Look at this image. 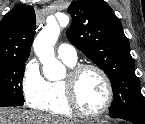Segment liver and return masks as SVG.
Wrapping results in <instances>:
<instances>
[{
	"label": "liver",
	"mask_w": 145,
	"mask_h": 124,
	"mask_svg": "<svg viewBox=\"0 0 145 124\" xmlns=\"http://www.w3.org/2000/svg\"><path fill=\"white\" fill-rule=\"evenodd\" d=\"M79 120L51 117L21 109H0V124H80Z\"/></svg>",
	"instance_id": "1"
}]
</instances>
